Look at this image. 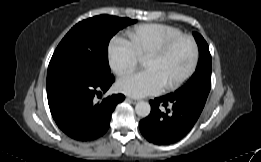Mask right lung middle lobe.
<instances>
[{
	"instance_id": "obj_1",
	"label": "right lung middle lobe",
	"mask_w": 261,
	"mask_h": 162,
	"mask_svg": "<svg viewBox=\"0 0 261 162\" xmlns=\"http://www.w3.org/2000/svg\"><path fill=\"white\" fill-rule=\"evenodd\" d=\"M136 20L99 15L76 24L56 48L47 72V81L62 74L79 72L95 78L110 76L108 44L125 26Z\"/></svg>"
}]
</instances>
